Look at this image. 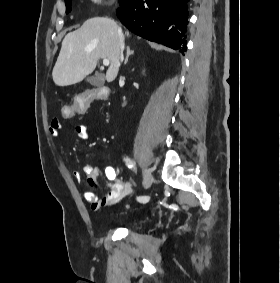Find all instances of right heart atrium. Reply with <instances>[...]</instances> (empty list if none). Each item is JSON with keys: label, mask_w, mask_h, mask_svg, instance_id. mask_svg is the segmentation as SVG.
<instances>
[{"label": "right heart atrium", "mask_w": 280, "mask_h": 283, "mask_svg": "<svg viewBox=\"0 0 280 283\" xmlns=\"http://www.w3.org/2000/svg\"><path fill=\"white\" fill-rule=\"evenodd\" d=\"M93 2H101L102 0H91Z\"/></svg>", "instance_id": "1"}]
</instances>
